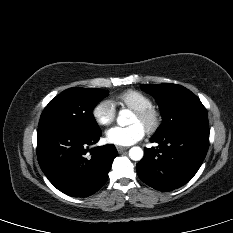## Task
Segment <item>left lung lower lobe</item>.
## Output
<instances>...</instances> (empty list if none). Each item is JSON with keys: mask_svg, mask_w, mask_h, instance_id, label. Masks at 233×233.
Masks as SVG:
<instances>
[{"mask_svg": "<svg viewBox=\"0 0 233 233\" xmlns=\"http://www.w3.org/2000/svg\"><path fill=\"white\" fill-rule=\"evenodd\" d=\"M151 142L158 148H146L136 170L140 179L152 188L167 192L186 184L196 174L209 147V127H190Z\"/></svg>", "mask_w": 233, "mask_h": 233, "instance_id": "left-lung-lower-lobe-1", "label": "left lung lower lobe"}]
</instances>
